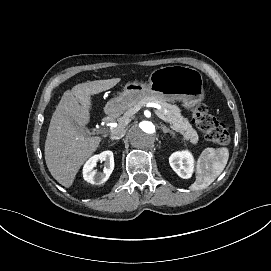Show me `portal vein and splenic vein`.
Returning a JSON list of instances; mask_svg holds the SVG:
<instances>
[{
  "label": "portal vein and splenic vein",
  "instance_id": "18ae733b",
  "mask_svg": "<svg viewBox=\"0 0 271 271\" xmlns=\"http://www.w3.org/2000/svg\"><path fill=\"white\" fill-rule=\"evenodd\" d=\"M153 111L156 112L157 110L154 109ZM156 115L159 116L162 120H164L168 125L170 124V122L164 116H162L159 112H157Z\"/></svg>",
  "mask_w": 271,
  "mask_h": 271
}]
</instances>
